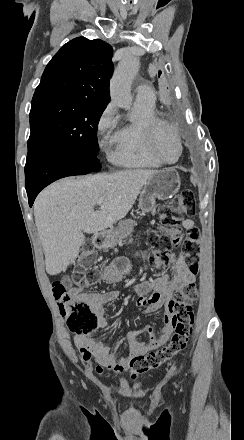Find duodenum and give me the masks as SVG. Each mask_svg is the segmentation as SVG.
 Here are the masks:
<instances>
[{
    "label": "duodenum",
    "instance_id": "1",
    "mask_svg": "<svg viewBox=\"0 0 244 440\" xmlns=\"http://www.w3.org/2000/svg\"><path fill=\"white\" fill-rule=\"evenodd\" d=\"M109 238V232L97 233L93 236V244L99 248L104 249L107 246V241Z\"/></svg>",
    "mask_w": 244,
    "mask_h": 440
}]
</instances>
